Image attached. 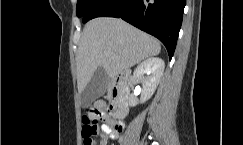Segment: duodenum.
<instances>
[{
    "instance_id": "duodenum-1",
    "label": "duodenum",
    "mask_w": 243,
    "mask_h": 145,
    "mask_svg": "<svg viewBox=\"0 0 243 145\" xmlns=\"http://www.w3.org/2000/svg\"><path fill=\"white\" fill-rule=\"evenodd\" d=\"M129 79V72L120 71L113 80L109 112L114 118L123 119L128 113Z\"/></svg>"
}]
</instances>
